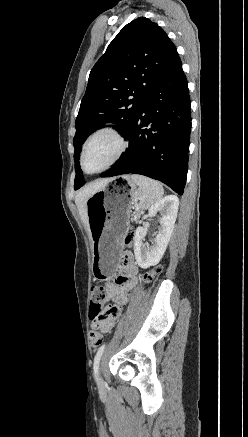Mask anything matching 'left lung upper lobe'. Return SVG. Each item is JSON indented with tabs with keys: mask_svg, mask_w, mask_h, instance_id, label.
<instances>
[{
	"mask_svg": "<svg viewBox=\"0 0 248 437\" xmlns=\"http://www.w3.org/2000/svg\"><path fill=\"white\" fill-rule=\"evenodd\" d=\"M177 57L167 34L145 17L125 25L109 44L90 72L75 122V190L84 184L78 160L85 139L106 122L119 125L125 138L147 94Z\"/></svg>",
	"mask_w": 248,
	"mask_h": 437,
	"instance_id": "5c2ea615",
	"label": "left lung upper lobe"
}]
</instances>
